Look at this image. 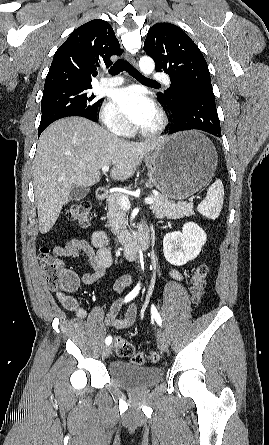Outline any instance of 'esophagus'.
I'll return each instance as SVG.
<instances>
[{
    "mask_svg": "<svg viewBox=\"0 0 269 445\" xmlns=\"http://www.w3.org/2000/svg\"><path fill=\"white\" fill-rule=\"evenodd\" d=\"M126 57H127V60H128L133 66L137 67V62H136V60H135V58H134L133 56H131V55H127Z\"/></svg>",
    "mask_w": 269,
    "mask_h": 445,
    "instance_id": "esophagus-1",
    "label": "esophagus"
}]
</instances>
